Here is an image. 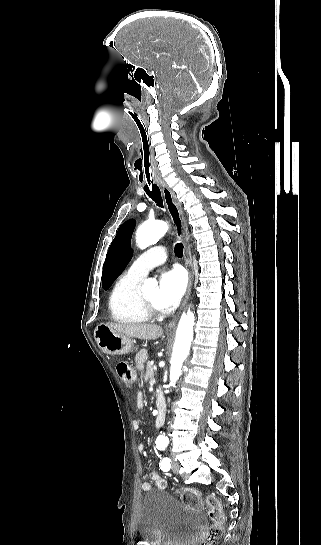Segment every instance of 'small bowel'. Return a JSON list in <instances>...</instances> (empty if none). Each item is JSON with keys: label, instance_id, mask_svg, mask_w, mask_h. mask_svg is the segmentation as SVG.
<instances>
[{"label": "small bowel", "instance_id": "obj_1", "mask_svg": "<svg viewBox=\"0 0 321 545\" xmlns=\"http://www.w3.org/2000/svg\"><path fill=\"white\" fill-rule=\"evenodd\" d=\"M136 404L137 407L142 408L144 405V398L142 394H138L136 397ZM133 427L135 430L140 428L139 421L133 422ZM138 451L142 453L144 451V445L139 444L138 445ZM148 476L151 481H144L141 485L143 491H149L152 487L158 488V489H165L166 488V481L155 471H149Z\"/></svg>", "mask_w": 321, "mask_h": 545}]
</instances>
